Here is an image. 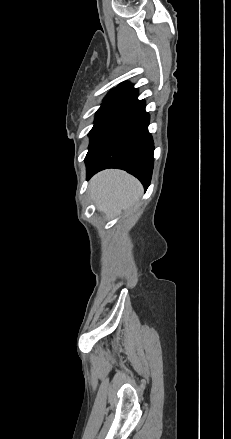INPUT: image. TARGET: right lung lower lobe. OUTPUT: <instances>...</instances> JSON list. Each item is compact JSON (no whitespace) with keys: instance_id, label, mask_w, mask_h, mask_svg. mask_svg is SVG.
Returning <instances> with one entry per match:
<instances>
[{"instance_id":"obj_1","label":"right lung lower lobe","mask_w":231,"mask_h":439,"mask_svg":"<svg viewBox=\"0 0 231 439\" xmlns=\"http://www.w3.org/2000/svg\"><path fill=\"white\" fill-rule=\"evenodd\" d=\"M135 101L141 115L120 126L91 150L86 158L87 178L106 168H119L137 177L147 189L153 170V139L148 132L149 115L145 102Z\"/></svg>"}]
</instances>
